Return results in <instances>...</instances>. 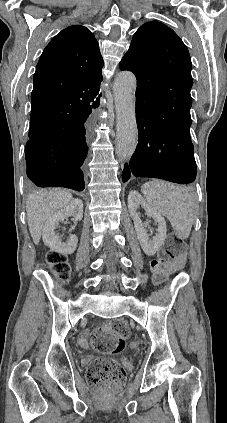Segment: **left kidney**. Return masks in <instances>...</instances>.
<instances>
[{
  "instance_id": "1",
  "label": "left kidney",
  "mask_w": 227,
  "mask_h": 423,
  "mask_svg": "<svg viewBox=\"0 0 227 423\" xmlns=\"http://www.w3.org/2000/svg\"><path fill=\"white\" fill-rule=\"evenodd\" d=\"M139 206H142L148 217H153L155 223H157L156 235L149 237L150 233H147L144 223L142 219H140L139 213H137ZM128 210L134 221L135 231L143 251H145L146 255H154L166 239L167 227L163 215H161L159 211L150 208L136 190H132L128 196Z\"/></svg>"
}]
</instances>
